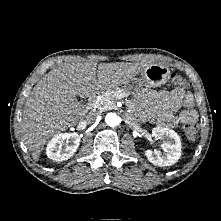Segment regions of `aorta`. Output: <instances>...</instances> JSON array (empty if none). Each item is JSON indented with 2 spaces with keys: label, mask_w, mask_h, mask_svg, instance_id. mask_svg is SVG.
Wrapping results in <instances>:
<instances>
[{
  "label": "aorta",
  "mask_w": 221,
  "mask_h": 221,
  "mask_svg": "<svg viewBox=\"0 0 221 221\" xmlns=\"http://www.w3.org/2000/svg\"><path fill=\"white\" fill-rule=\"evenodd\" d=\"M105 122L110 127H115L120 123V117L113 112H110L105 117Z\"/></svg>",
  "instance_id": "1"
}]
</instances>
